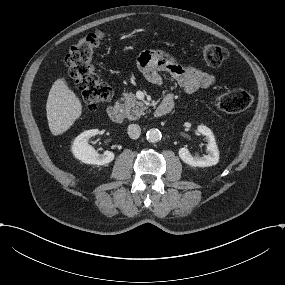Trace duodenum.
Masks as SVG:
<instances>
[{
  "mask_svg": "<svg viewBox=\"0 0 285 285\" xmlns=\"http://www.w3.org/2000/svg\"><path fill=\"white\" fill-rule=\"evenodd\" d=\"M174 98L172 95H166L162 102L154 109V115L157 117H162L167 115L173 108ZM108 117L112 122L118 123L122 120V113L120 108L112 104L107 109Z\"/></svg>",
  "mask_w": 285,
  "mask_h": 285,
  "instance_id": "obj_1",
  "label": "duodenum"
}]
</instances>
